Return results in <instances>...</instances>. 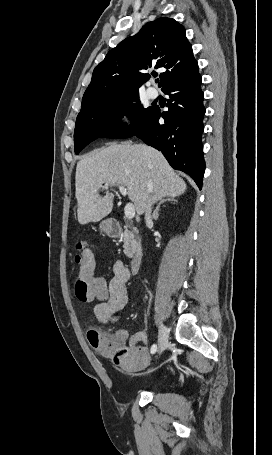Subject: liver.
<instances>
[{
    "label": "liver",
    "mask_w": 272,
    "mask_h": 455,
    "mask_svg": "<svg viewBox=\"0 0 272 455\" xmlns=\"http://www.w3.org/2000/svg\"><path fill=\"white\" fill-rule=\"evenodd\" d=\"M104 183L124 186L134 203L137 214L146 206L163 197H177L186 189V183L170 167L164 156L144 144L110 143L93 151L77 163L75 186L78 222L85 225L98 222L113 208L114 195L101 197Z\"/></svg>",
    "instance_id": "1"
}]
</instances>
